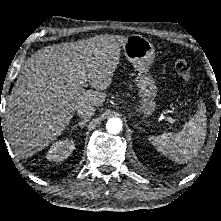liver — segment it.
<instances>
[{"instance_id": "obj_1", "label": "liver", "mask_w": 221, "mask_h": 221, "mask_svg": "<svg viewBox=\"0 0 221 221\" xmlns=\"http://www.w3.org/2000/svg\"><path fill=\"white\" fill-rule=\"evenodd\" d=\"M126 40L95 36L46 46L27 59L5 112L4 130L16 156H33L55 141L78 107L103 104ZM83 71L95 90L84 89Z\"/></svg>"}]
</instances>
